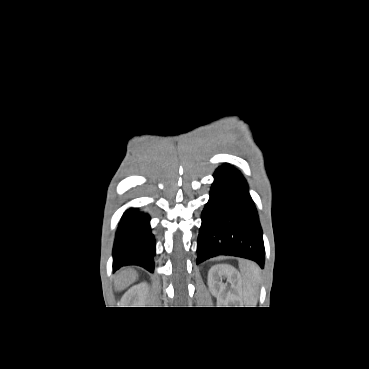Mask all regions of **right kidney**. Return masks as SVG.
I'll use <instances>...</instances> for the list:
<instances>
[{"mask_svg":"<svg viewBox=\"0 0 369 369\" xmlns=\"http://www.w3.org/2000/svg\"><path fill=\"white\" fill-rule=\"evenodd\" d=\"M148 290L149 288L146 282L139 283L127 291L126 298L129 302H132L134 307H144Z\"/></svg>","mask_w":369,"mask_h":369,"instance_id":"1","label":"right kidney"}]
</instances>
